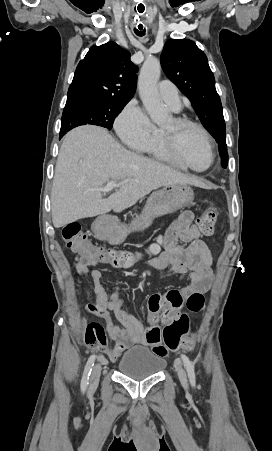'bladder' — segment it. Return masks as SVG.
I'll return each mask as SVG.
<instances>
[{"label":"bladder","instance_id":"1","mask_svg":"<svg viewBox=\"0 0 272 451\" xmlns=\"http://www.w3.org/2000/svg\"><path fill=\"white\" fill-rule=\"evenodd\" d=\"M166 366L164 357L146 346L134 345L126 350L118 360L120 375L132 378L152 376L160 373Z\"/></svg>","mask_w":272,"mask_h":451}]
</instances>
